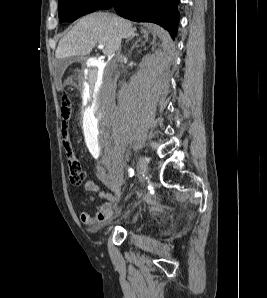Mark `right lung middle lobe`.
<instances>
[{"label":"right lung middle lobe","mask_w":267,"mask_h":298,"mask_svg":"<svg viewBox=\"0 0 267 298\" xmlns=\"http://www.w3.org/2000/svg\"><path fill=\"white\" fill-rule=\"evenodd\" d=\"M105 0H59L60 22H72L79 17L94 12Z\"/></svg>","instance_id":"1"}]
</instances>
